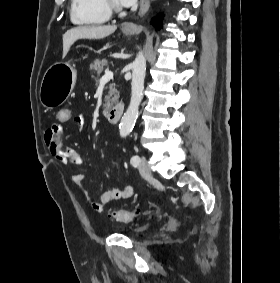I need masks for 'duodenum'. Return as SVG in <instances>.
<instances>
[{"label":"duodenum","mask_w":280,"mask_h":283,"mask_svg":"<svg viewBox=\"0 0 280 283\" xmlns=\"http://www.w3.org/2000/svg\"><path fill=\"white\" fill-rule=\"evenodd\" d=\"M124 111V105L122 103L114 106L107 113V121L111 124H116L122 117Z\"/></svg>","instance_id":"1"}]
</instances>
